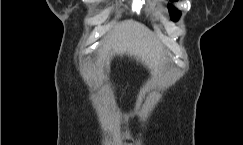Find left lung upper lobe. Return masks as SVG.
I'll use <instances>...</instances> for the list:
<instances>
[{
  "label": "left lung upper lobe",
  "instance_id": "5c2ea615",
  "mask_svg": "<svg viewBox=\"0 0 243 145\" xmlns=\"http://www.w3.org/2000/svg\"><path fill=\"white\" fill-rule=\"evenodd\" d=\"M172 1H175V0H172ZM168 8L170 9L172 20L177 21L178 18L180 17V15H181L180 11H178L176 8H174L171 5H169Z\"/></svg>",
  "mask_w": 243,
  "mask_h": 145
}]
</instances>
